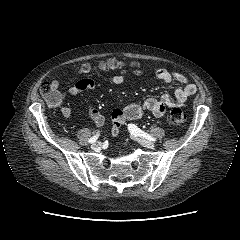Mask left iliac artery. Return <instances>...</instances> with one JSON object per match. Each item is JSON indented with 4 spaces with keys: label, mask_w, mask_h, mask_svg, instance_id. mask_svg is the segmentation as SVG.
<instances>
[{
    "label": "left iliac artery",
    "mask_w": 240,
    "mask_h": 240,
    "mask_svg": "<svg viewBox=\"0 0 240 240\" xmlns=\"http://www.w3.org/2000/svg\"><path fill=\"white\" fill-rule=\"evenodd\" d=\"M128 130L131 133V135L140 136V137H143L150 141H156V138H154L153 136L149 135L148 133L142 131L135 124H129Z\"/></svg>",
    "instance_id": "44dca946"
}]
</instances>
